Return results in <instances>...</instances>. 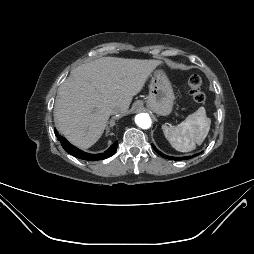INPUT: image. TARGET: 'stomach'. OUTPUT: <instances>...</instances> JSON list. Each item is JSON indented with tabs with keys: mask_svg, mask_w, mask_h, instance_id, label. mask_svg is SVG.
Here are the masks:
<instances>
[{
	"mask_svg": "<svg viewBox=\"0 0 254 254\" xmlns=\"http://www.w3.org/2000/svg\"><path fill=\"white\" fill-rule=\"evenodd\" d=\"M175 99L171 83L163 70H155L151 75L147 107L159 116H167Z\"/></svg>",
	"mask_w": 254,
	"mask_h": 254,
	"instance_id": "stomach-1",
	"label": "stomach"
}]
</instances>
